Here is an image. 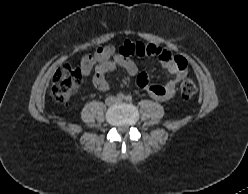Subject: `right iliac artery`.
I'll return each instance as SVG.
<instances>
[{"label":"right iliac artery","mask_w":248,"mask_h":194,"mask_svg":"<svg viewBox=\"0 0 248 194\" xmlns=\"http://www.w3.org/2000/svg\"><path fill=\"white\" fill-rule=\"evenodd\" d=\"M116 98H117V100L122 101L125 98V96L123 93H119V94H117Z\"/></svg>","instance_id":"right-iliac-artery-1"}]
</instances>
